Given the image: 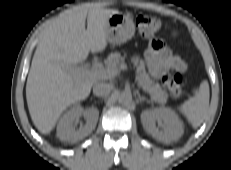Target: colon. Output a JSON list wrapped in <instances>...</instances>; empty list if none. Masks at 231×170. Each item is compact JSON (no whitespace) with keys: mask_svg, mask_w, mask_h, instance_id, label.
Returning <instances> with one entry per match:
<instances>
[{"mask_svg":"<svg viewBox=\"0 0 231 170\" xmlns=\"http://www.w3.org/2000/svg\"><path fill=\"white\" fill-rule=\"evenodd\" d=\"M136 26L142 36L151 37L159 31L161 22L155 16L140 15L136 19ZM163 84L171 95L175 97L187 96L184 79L180 73L165 77Z\"/></svg>","mask_w":231,"mask_h":170,"instance_id":"obj_1","label":"colon"}]
</instances>
